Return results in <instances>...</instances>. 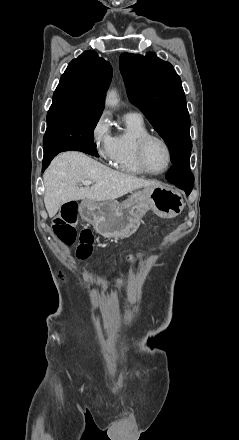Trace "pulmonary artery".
<instances>
[{"label":"pulmonary artery","instance_id":"obj_1","mask_svg":"<svg viewBox=\"0 0 239 440\" xmlns=\"http://www.w3.org/2000/svg\"><path fill=\"white\" fill-rule=\"evenodd\" d=\"M127 116L134 117V118H137V119H143V115H142V113L139 112V111H137V110H131V111L127 114Z\"/></svg>","mask_w":239,"mask_h":440}]
</instances>
